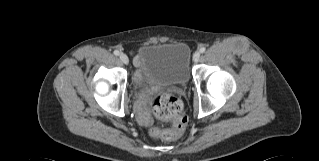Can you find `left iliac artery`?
Instances as JSON below:
<instances>
[{
	"mask_svg": "<svg viewBox=\"0 0 319 161\" xmlns=\"http://www.w3.org/2000/svg\"><path fill=\"white\" fill-rule=\"evenodd\" d=\"M200 52L201 53L205 52V48L204 47L200 48Z\"/></svg>",
	"mask_w": 319,
	"mask_h": 161,
	"instance_id": "44dca946",
	"label": "left iliac artery"
}]
</instances>
